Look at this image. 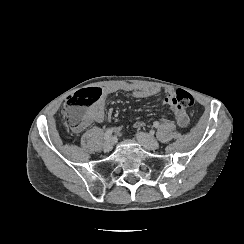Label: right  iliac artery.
Segmentation results:
<instances>
[{
    "label": "right iliac artery",
    "instance_id": "82829eb1",
    "mask_svg": "<svg viewBox=\"0 0 244 244\" xmlns=\"http://www.w3.org/2000/svg\"><path fill=\"white\" fill-rule=\"evenodd\" d=\"M113 132H114V128L108 129L104 134V140L109 139L112 136Z\"/></svg>",
    "mask_w": 244,
    "mask_h": 244
}]
</instances>
